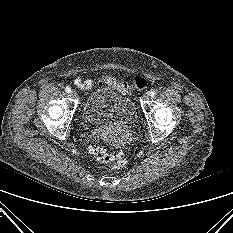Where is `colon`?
Listing matches in <instances>:
<instances>
[{
	"mask_svg": "<svg viewBox=\"0 0 233 233\" xmlns=\"http://www.w3.org/2000/svg\"><path fill=\"white\" fill-rule=\"evenodd\" d=\"M99 83L109 84L122 92H127L129 90V86L125 83L118 82L116 79L110 76H105L99 79ZM147 81L145 78L138 76L134 79V86L136 88L142 89L146 87ZM89 153L100 163L109 164L112 169H120L123 168L126 163L125 154L117 151H108L101 143L92 142L89 145Z\"/></svg>",
	"mask_w": 233,
	"mask_h": 233,
	"instance_id": "colon-1",
	"label": "colon"
}]
</instances>
